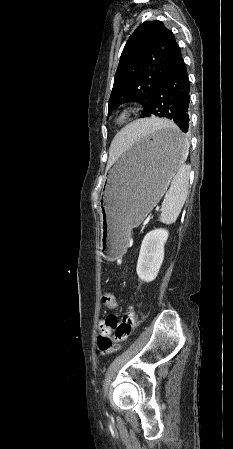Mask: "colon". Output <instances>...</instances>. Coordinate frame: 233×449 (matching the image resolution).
I'll use <instances>...</instances> for the list:
<instances>
[{
	"instance_id": "colon-1",
	"label": "colon",
	"mask_w": 233,
	"mask_h": 449,
	"mask_svg": "<svg viewBox=\"0 0 233 449\" xmlns=\"http://www.w3.org/2000/svg\"><path fill=\"white\" fill-rule=\"evenodd\" d=\"M103 305L111 310L117 309L116 297L112 292H107L102 297ZM136 308L134 305L128 307L122 318L115 313L109 314L105 319V328L98 337V346L101 351H107L114 344L127 340L136 324Z\"/></svg>"
}]
</instances>
